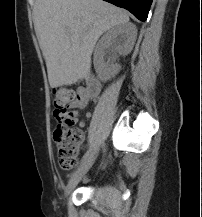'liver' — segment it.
<instances>
[{
    "mask_svg": "<svg viewBox=\"0 0 202 217\" xmlns=\"http://www.w3.org/2000/svg\"><path fill=\"white\" fill-rule=\"evenodd\" d=\"M33 15L52 88L87 78L99 37L129 21L126 11L103 0H36Z\"/></svg>",
    "mask_w": 202,
    "mask_h": 217,
    "instance_id": "6515ba94",
    "label": "liver"
}]
</instances>
